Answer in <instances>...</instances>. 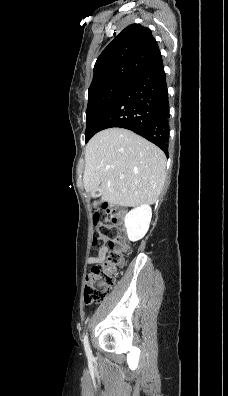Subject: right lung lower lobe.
I'll use <instances>...</instances> for the list:
<instances>
[{
    "label": "right lung lower lobe",
    "mask_w": 228,
    "mask_h": 396,
    "mask_svg": "<svg viewBox=\"0 0 228 396\" xmlns=\"http://www.w3.org/2000/svg\"><path fill=\"white\" fill-rule=\"evenodd\" d=\"M161 54L134 79L104 113L95 132L121 127L132 130L168 154L169 106Z\"/></svg>",
    "instance_id": "1"
}]
</instances>
